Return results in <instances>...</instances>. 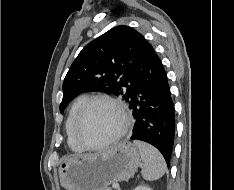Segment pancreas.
<instances>
[{
	"label": "pancreas",
	"instance_id": "obj_1",
	"mask_svg": "<svg viewBox=\"0 0 234 190\" xmlns=\"http://www.w3.org/2000/svg\"><path fill=\"white\" fill-rule=\"evenodd\" d=\"M106 190H111L110 188H107Z\"/></svg>",
	"mask_w": 234,
	"mask_h": 190
}]
</instances>
